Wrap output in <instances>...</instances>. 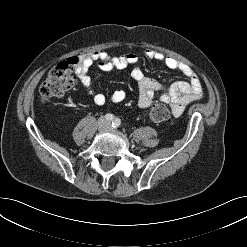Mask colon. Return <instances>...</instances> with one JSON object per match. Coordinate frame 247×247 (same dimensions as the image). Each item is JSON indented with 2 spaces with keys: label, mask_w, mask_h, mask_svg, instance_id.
<instances>
[{
  "label": "colon",
  "mask_w": 247,
  "mask_h": 247,
  "mask_svg": "<svg viewBox=\"0 0 247 247\" xmlns=\"http://www.w3.org/2000/svg\"><path fill=\"white\" fill-rule=\"evenodd\" d=\"M80 64L79 58H70L53 67L39 89V98L47 102L53 98L64 96L76 85V69ZM170 117V108L165 104L155 105L150 113L152 122L160 123Z\"/></svg>",
  "instance_id": "obj_1"
}]
</instances>
